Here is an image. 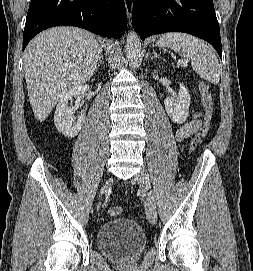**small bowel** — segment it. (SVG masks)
I'll return each instance as SVG.
<instances>
[{"label":"small bowel","instance_id":"obj_1","mask_svg":"<svg viewBox=\"0 0 253 271\" xmlns=\"http://www.w3.org/2000/svg\"><path fill=\"white\" fill-rule=\"evenodd\" d=\"M201 127L200 114L195 112L190 120L182 124L175 132V138L179 142H185Z\"/></svg>","mask_w":253,"mask_h":271}]
</instances>
